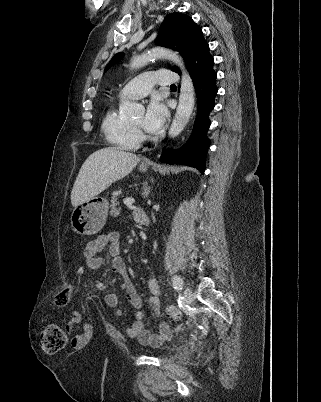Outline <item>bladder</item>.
Masks as SVG:
<instances>
[{
    "label": "bladder",
    "mask_w": 321,
    "mask_h": 402,
    "mask_svg": "<svg viewBox=\"0 0 321 402\" xmlns=\"http://www.w3.org/2000/svg\"><path fill=\"white\" fill-rule=\"evenodd\" d=\"M167 343H168V339L164 340L160 345H161V347H165Z\"/></svg>",
    "instance_id": "31cf9c89"
}]
</instances>
